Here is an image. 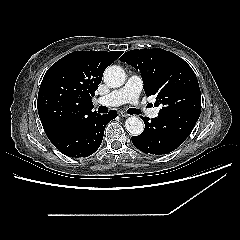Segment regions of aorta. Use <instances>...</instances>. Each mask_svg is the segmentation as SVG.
<instances>
[{"instance_id":"obj_1","label":"aorta","mask_w":240,"mask_h":240,"mask_svg":"<svg viewBox=\"0 0 240 240\" xmlns=\"http://www.w3.org/2000/svg\"><path fill=\"white\" fill-rule=\"evenodd\" d=\"M125 78V71L117 65L109 66L103 75L104 82L112 88L121 87ZM125 128L129 134L138 136L144 130V122L139 117L131 116L125 121Z\"/></svg>"}]
</instances>
